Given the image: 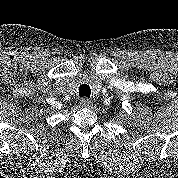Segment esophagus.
Here are the masks:
<instances>
[{
	"label": "esophagus",
	"instance_id": "esophagus-1",
	"mask_svg": "<svg viewBox=\"0 0 178 178\" xmlns=\"http://www.w3.org/2000/svg\"><path fill=\"white\" fill-rule=\"evenodd\" d=\"M82 107L88 108L92 105V102L88 98H82L80 101Z\"/></svg>",
	"mask_w": 178,
	"mask_h": 178
}]
</instances>
